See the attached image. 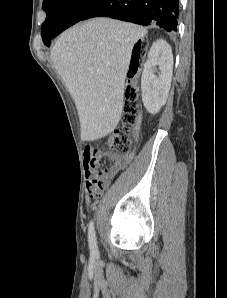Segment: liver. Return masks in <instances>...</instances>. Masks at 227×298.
Here are the masks:
<instances>
[{"label":"liver","instance_id":"1","mask_svg":"<svg viewBox=\"0 0 227 298\" xmlns=\"http://www.w3.org/2000/svg\"><path fill=\"white\" fill-rule=\"evenodd\" d=\"M146 33L138 25L100 17L58 37L51 59L74 99L82 141L103 138L116 128L132 49Z\"/></svg>","mask_w":227,"mask_h":298}]
</instances>
